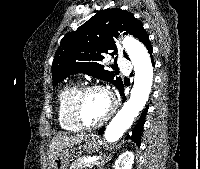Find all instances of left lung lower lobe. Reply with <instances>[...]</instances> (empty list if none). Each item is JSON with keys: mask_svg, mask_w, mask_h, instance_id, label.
Returning a JSON list of instances; mask_svg holds the SVG:
<instances>
[{"mask_svg": "<svg viewBox=\"0 0 200 169\" xmlns=\"http://www.w3.org/2000/svg\"><path fill=\"white\" fill-rule=\"evenodd\" d=\"M145 46L149 52V54L151 55L153 52L152 46L150 44L149 41H147L145 43ZM153 66L155 65L154 61L152 60ZM120 93L123 95L124 92V84L122 83V85L118 88ZM125 100V98L123 99V101ZM148 107L146 108V110L142 113L137 125L135 126V128L131 131L130 134H128L126 136V138H130L132 139L138 146H140V142H141V131L143 130V124H144V120H145V116H146V112H147ZM104 133V128L100 129L98 131V134H103Z\"/></svg>", "mask_w": 200, "mask_h": 169, "instance_id": "left-lung-lower-lobe-1", "label": "left lung lower lobe"}]
</instances>
